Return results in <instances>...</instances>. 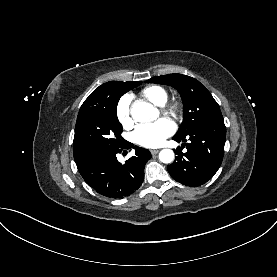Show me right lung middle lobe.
<instances>
[{
	"instance_id": "obj_1",
	"label": "right lung middle lobe",
	"mask_w": 277,
	"mask_h": 277,
	"mask_svg": "<svg viewBox=\"0 0 277 277\" xmlns=\"http://www.w3.org/2000/svg\"><path fill=\"white\" fill-rule=\"evenodd\" d=\"M142 82L131 85L114 84L106 90L103 103L78 115L73 141L75 162L103 151L122 147V125L116 108L120 97Z\"/></svg>"
}]
</instances>
